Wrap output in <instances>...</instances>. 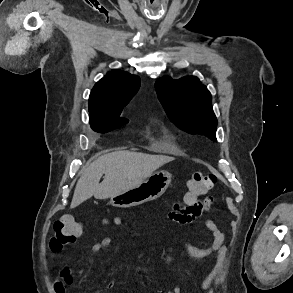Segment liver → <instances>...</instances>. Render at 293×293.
<instances>
[{"instance_id": "6515ba94", "label": "liver", "mask_w": 293, "mask_h": 293, "mask_svg": "<svg viewBox=\"0 0 293 293\" xmlns=\"http://www.w3.org/2000/svg\"><path fill=\"white\" fill-rule=\"evenodd\" d=\"M173 157L118 151L98 157L87 163L78 180L71 208L94 196L107 199L132 189L153 174L155 170L173 161ZM104 179L99 183L102 175Z\"/></svg>"}]
</instances>
